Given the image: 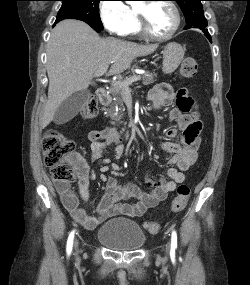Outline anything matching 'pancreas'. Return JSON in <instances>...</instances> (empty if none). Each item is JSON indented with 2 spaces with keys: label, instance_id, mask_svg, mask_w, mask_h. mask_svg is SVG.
Segmentation results:
<instances>
[{
  "label": "pancreas",
  "instance_id": "obj_1",
  "mask_svg": "<svg viewBox=\"0 0 250 285\" xmlns=\"http://www.w3.org/2000/svg\"><path fill=\"white\" fill-rule=\"evenodd\" d=\"M137 76L134 72L127 76L123 81L119 82H124L127 81L128 79ZM156 75L150 72H146L143 75L140 76L142 78L143 84L144 85H149L152 84L156 81ZM110 94L112 95V100L113 102L110 105V108H104V110L107 112V115L113 118L115 121H119L123 117L122 111L116 112L115 107L116 106H123V94H124V89L120 87L119 85H115L110 89Z\"/></svg>",
  "mask_w": 250,
  "mask_h": 285
}]
</instances>
